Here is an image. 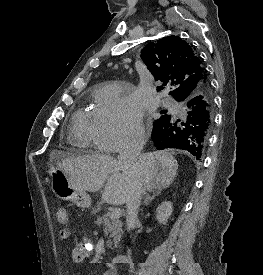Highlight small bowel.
Returning <instances> with one entry per match:
<instances>
[{
    "label": "small bowel",
    "mask_w": 263,
    "mask_h": 275,
    "mask_svg": "<svg viewBox=\"0 0 263 275\" xmlns=\"http://www.w3.org/2000/svg\"><path fill=\"white\" fill-rule=\"evenodd\" d=\"M71 236V230L65 228L61 231V237L68 239ZM93 251V245L89 238H82L78 240L75 246L70 252V258L73 263H83L88 257H90ZM102 275H116L115 268L107 265L106 269L102 272Z\"/></svg>",
    "instance_id": "small-bowel-1"
}]
</instances>
